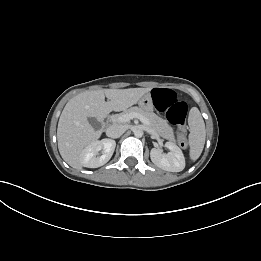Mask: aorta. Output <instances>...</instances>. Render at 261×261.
I'll use <instances>...</instances> for the list:
<instances>
[{"instance_id":"aorta-1","label":"aorta","mask_w":261,"mask_h":261,"mask_svg":"<svg viewBox=\"0 0 261 261\" xmlns=\"http://www.w3.org/2000/svg\"><path fill=\"white\" fill-rule=\"evenodd\" d=\"M134 135H135V137L140 138V137L143 136V131L141 129H135L134 130Z\"/></svg>"}]
</instances>
